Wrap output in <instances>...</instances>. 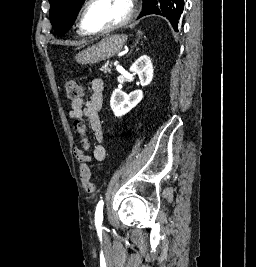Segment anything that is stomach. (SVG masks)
Segmentation results:
<instances>
[{"mask_svg": "<svg viewBox=\"0 0 256 267\" xmlns=\"http://www.w3.org/2000/svg\"><path fill=\"white\" fill-rule=\"evenodd\" d=\"M126 34H115V36H106L95 46H89L77 54L75 60L79 64H97L102 60L112 58L118 52H121L127 42Z\"/></svg>", "mask_w": 256, "mask_h": 267, "instance_id": "obj_1", "label": "stomach"}]
</instances>
